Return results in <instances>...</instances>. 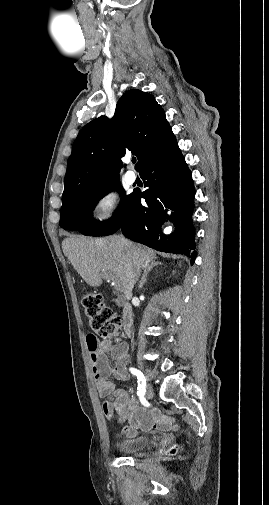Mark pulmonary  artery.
<instances>
[{"label":"pulmonary artery","mask_w":269,"mask_h":505,"mask_svg":"<svg viewBox=\"0 0 269 505\" xmlns=\"http://www.w3.org/2000/svg\"><path fill=\"white\" fill-rule=\"evenodd\" d=\"M125 179L128 183L133 184L136 181V174L132 170H129L125 174Z\"/></svg>","instance_id":"1"}]
</instances>
